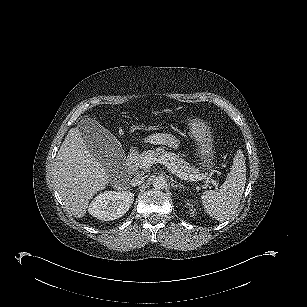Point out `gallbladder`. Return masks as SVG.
Here are the masks:
<instances>
[{
    "mask_svg": "<svg viewBox=\"0 0 307 307\" xmlns=\"http://www.w3.org/2000/svg\"><path fill=\"white\" fill-rule=\"evenodd\" d=\"M82 137L90 153L99 162L112 169L114 161L123 155L121 144L102 125L96 122H87L82 131Z\"/></svg>",
    "mask_w": 307,
    "mask_h": 307,
    "instance_id": "obj_1",
    "label": "gallbladder"
}]
</instances>
